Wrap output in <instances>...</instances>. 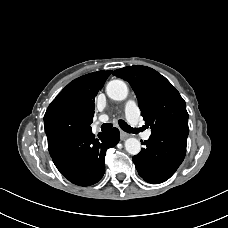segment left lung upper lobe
Returning a JSON list of instances; mask_svg holds the SVG:
<instances>
[{"instance_id": "obj_1", "label": "left lung upper lobe", "mask_w": 228, "mask_h": 228, "mask_svg": "<svg viewBox=\"0 0 228 228\" xmlns=\"http://www.w3.org/2000/svg\"><path fill=\"white\" fill-rule=\"evenodd\" d=\"M130 83L145 122L152 133H169L187 140L189 133L186 103L160 73L146 66H128L113 72Z\"/></svg>"}]
</instances>
